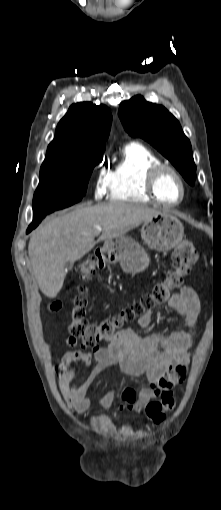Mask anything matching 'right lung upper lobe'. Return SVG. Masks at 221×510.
<instances>
[{
  "instance_id": "1",
  "label": "right lung upper lobe",
  "mask_w": 221,
  "mask_h": 510,
  "mask_svg": "<svg viewBox=\"0 0 221 510\" xmlns=\"http://www.w3.org/2000/svg\"><path fill=\"white\" fill-rule=\"evenodd\" d=\"M111 118L110 109L104 105L97 106L90 102L71 105L57 125L54 140L48 146L45 160L105 149Z\"/></svg>"
}]
</instances>
